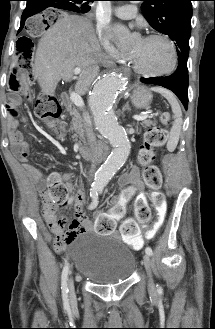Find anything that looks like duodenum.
Masks as SVG:
<instances>
[{
  "instance_id": "410a0bca",
  "label": "duodenum",
  "mask_w": 215,
  "mask_h": 329,
  "mask_svg": "<svg viewBox=\"0 0 215 329\" xmlns=\"http://www.w3.org/2000/svg\"><path fill=\"white\" fill-rule=\"evenodd\" d=\"M61 104L63 107L68 108L71 104L69 94L63 93L61 95ZM80 155L86 160H94L95 159V151L89 147L81 146L79 148Z\"/></svg>"
}]
</instances>
